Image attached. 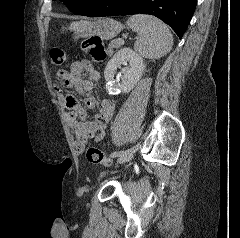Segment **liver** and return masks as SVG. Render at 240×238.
Returning a JSON list of instances; mask_svg holds the SVG:
<instances>
[{
  "instance_id": "liver-1",
  "label": "liver",
  "mask_w": 240,
  "mask_h": 238,
  "mask_svg": "<svg viewBox=\"0 0 240 238\" xmlns=\"http://www.w3.org/2000/svg\"><path fill=\"white\" fill-rule=\"evenodd\" d=\"M80 26H81V22H72L70 24L69 29L74 31V30H77Z\"/></svg>"
}]
</instances>
